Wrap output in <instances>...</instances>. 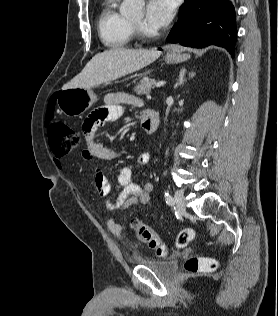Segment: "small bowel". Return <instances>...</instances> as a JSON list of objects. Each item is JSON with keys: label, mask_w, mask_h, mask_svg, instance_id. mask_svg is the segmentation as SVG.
Here are the masks:
<instances>
[{"label": "small bowel", "mask_w": 278, "mask_h": 316, "mask_svg": "<svg viewBox=\"0 0 278 316\" xmlns=\"http://www.w3.org/2000/svg\"><path fill=\"white\" fill-rule=\"evenodd\" d=\"M139 105L140 101L125 93H110L104 98V105L94 110L83 122L82 130L86 139V147L82 151L85 161L113 160L120 156V152L104 146L97 140L99 128L106 122L115 121L123 114V105ZM150 153H141L135 165L142 166L149 162ZM132 166L122 167L117 176L116 189L114 193L112 186L100 167H95L94 184L98 193L107 198V206L111 210L126 209L131 206L148 205L151 203L153 186L146 182L138 185L132 182ZM109 231L117 238H123L121 225L114 219L107 221Z\"/></svg>", "instance_id": "obj_1"}]
</instances>
